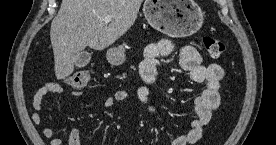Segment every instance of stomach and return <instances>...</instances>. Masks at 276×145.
I'll use <instances>...</instances> for the list:
<instances>
[{"mask_svg": "<svg viewBox=\"0 0 276 145\" xmlns=\"http://www.w3.org/2000/svg\"><path fill=\"white\" fill-rule=\"evenodd\" d=\"M143 13L154 29L170 37H187L202 26L204 14L194 0H146ZM123 47L110 48L107 60L112 65L125 61Z\"/></svg>", "mask_w": 276, "mask_h": 145, "instance_id": "0dacf381", "label": "stomach"}]
</instances>
